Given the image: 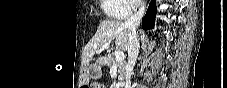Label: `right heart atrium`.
Returning <instances> with one entry per match:
<instances>
[{
    "label": "right heart atrium",
    "mask_w": 227,
    "mask_h": 88,
    "mask_svg": "<svg viewBox=\"0 0 227 88\" xmlns=\"http://www.w3.org/2000/svg\"><path fill=\"white\" fill-rule=\"evenodd\" d=\"M127 4L129 6L128 11L126 12V16H129L137 11L139 6L141 5L140 0H127Z\"/></svg>",
    "instance_id": "right-heart-atrium-1"
}]
</instances>
